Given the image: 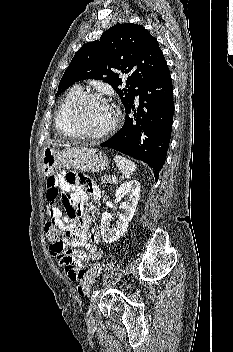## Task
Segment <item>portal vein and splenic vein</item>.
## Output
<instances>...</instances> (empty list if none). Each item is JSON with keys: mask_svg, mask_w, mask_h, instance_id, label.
<instances>
[{"mask_svg": "<svg viewBox=\"0 0 233 352\" xmlns=\"http://www.w3.org/2000/svg\"><path fill=\"white\" fill-rule=\"evenodd\" d=\"M111 179H112V181H116L117 178L115 175H112Z\"/></svg>", "mask_w": 233, "mask_h": 352, "instance_id": "1", "label": "portal vein and splenic vein"}]
</instances>
